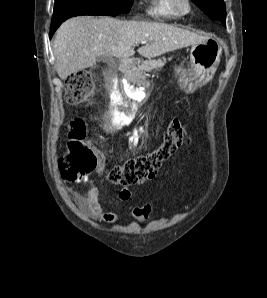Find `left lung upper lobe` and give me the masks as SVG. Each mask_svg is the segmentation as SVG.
<instances>
[{
  "label": "left lung upper lobe",
  "instance_id": "1",
  "mask_svg": "<svg viewBox=\"0 0 267 298\" xmlns=\"http://www.w3.org/2000/svg\"><path fill=\"white\" fill-rule=\"evenodd\" d=\"M201 10L225 26L226 8L223 0H192Z\"/></svg>",
  "mask_w": 267,
  "mask_h": 298
}]
</instances>
